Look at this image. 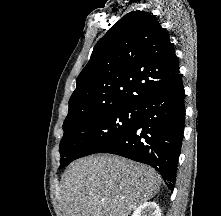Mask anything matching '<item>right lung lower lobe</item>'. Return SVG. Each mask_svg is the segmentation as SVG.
Instances as JSON below:
<instances>
[{
	"label": "right lung lower lobe",
	"mask_w": 221,
	"mask_h": 216,
	"mask_svg": "<svg viewBox=\"0 0 221 216\" xmlns=\"http://www.w3.org/2000/svg\"><path fill=\"white\" fill-rule=\"evenodd\" d=\"M184 87L178 73L138 106L135 124L100 153L154 167L173 191L184 133Z\"/></svg>",
	"instance_id": "1"
}]
</instances>
